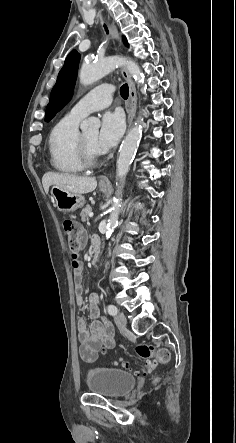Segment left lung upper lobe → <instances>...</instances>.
<instances>
[{"label":"left lung upper lobe","instance_id":"1","mask_svg":"<svg viewBox=\"0 0 236 443\" xmlns=\"http://www.w3.org/2000/svg\"><path fill=\"white\" fill-rule=\"evenodd\" d=\"M124 43L128 45L126 38H124ZM79 60L80 55L76 50L68 54L64 66L59 72L56 84L51 91L50 101L46 108L45 121L51 120L70 100L76 82Z\"/></svg>","mask_w":236,"mask_h":443}]
</instances>
